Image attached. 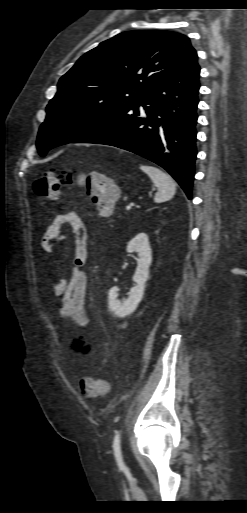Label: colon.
<instances>
[{"mask_svg":"<svg viewBox=\"0 0 247 513\" xmlns=\"http://www.w3.org/2000/svg\"><path fill=\"white\" fill-rule=\"evenodd\" d=\"M74 183L86 187V192L100 215H108L118 199L116 188L101 172L80 174L75 170L62 173L45 172L33 183V191L39 197L56 199L61 190ZM81 392L89 398H100L109 392V384L99 378L83 377L80 380Z\"/></svg>","mask_w":247,"mask_h":513,"instance_id":"5ec220e1","label":"colon"}]
</instances>
